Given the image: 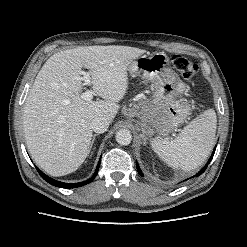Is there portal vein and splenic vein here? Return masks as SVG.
<instances>
[{
  "label": "portal vein and splenic vein",
  "instance_id": "1",
  "mask_svg": "<svg viewBox=\"0 0 247 247\" xmlns=\"http://www.w3.org/2000/svg\"><path fill=\"white\" fill-rule=\"evenodd\" d=\"M83 74V80L85 81L86 85H91V78L89 72H82ZM81 97L84 100H92L93 99V93L91 90H86L84 93H82Z\"/></svg>",
  "mask_w": 247,
  "mask_h": 247
}]
</instances>
